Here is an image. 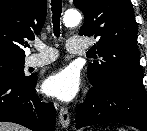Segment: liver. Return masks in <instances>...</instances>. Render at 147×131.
<instances>
[{
    "label": "liver",
    "instance_id": "liver-1",
    "mask_svg": "<svg viewBox=\"0 0 147 131\" xmlns=\"http://www.w3.org/2000/svg\"><path fill=\"white\" fill-rule=\"evenodd\" d=\"M0 131H28V130L14 123L0 122Z\"/></svg>",
    "mask_w": 147,
    "mask_h": 131
}]
</instances>
